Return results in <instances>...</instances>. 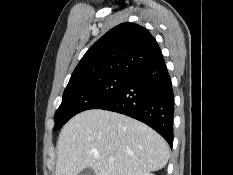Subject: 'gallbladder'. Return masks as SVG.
I'll use <instances>...</instances> for the list:
<instances>
[{
  "mask_svg": "<svg viewBox=\"0 0 233 175\" xmlns=\"http://www.w3.org/2000/svg\"><path fill=\"white\" fill-rule=\"evenodd\" d=\"M78 175H95V173H94L93 169L85 168Z\"/></svg>",
  "mask_w": 233,
  "mask_h": 175,
  "instance_id": "1",
  "label": "gallbladder"
}]
</instances>
